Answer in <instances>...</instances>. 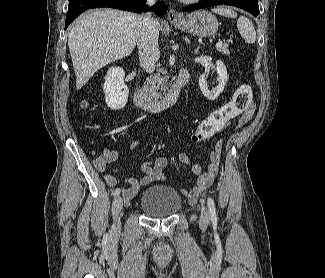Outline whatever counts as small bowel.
<instances>
[{
  "label": "small bowel",
  "instance_id": "small-bowel-1",
  "mask_svg": "<svg viewBox=\"0 0 325 278\" xmlns=\"http://www.w3.org/2000/svg\"><path fill=\"white\" fill-rule=\"evenodd\" d=\"M253 113L254 107L251 105L240 115L238 125L241 126L246 124L251 119ZM141 144V140H134L130 145V149H135ZM221 152L222 142L219 141L216 143L210 153V160L205 170H203L199 164L191 165L192 173L198 175V178L194 188H183L181 190L184 195L195 198L209 188L217 173L221 158ZM119 157L120 153L117 150L105 148L101 155L94 160V166L98 171L104 172L107 164L116 161ZM178 160L184 165H190L191 163L190 158L186 154H180ZM168 162V158L158 157L152 161H148L142 164L141 169L144 174L142 178L137 179L134 176L127 177L125 181L129 184V186L128 188L122 190V195L125 203L128 205L130 203V200L135 197L140 188L145 187L153 182L166 181L167 177L164 173V168L168 165ZM104 179L109 185L112 186L120 182V179L117 176L110 174H105Z\"/></svg>",
  "mask_w": 325,
  "mask_h": 278
}]
</instances>
